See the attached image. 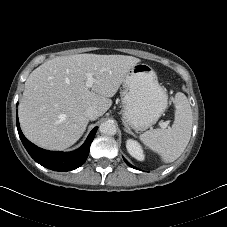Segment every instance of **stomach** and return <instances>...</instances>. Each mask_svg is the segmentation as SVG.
I'll use <instances>...</instances> for the list:
<instances>
[{
	"label": "stomach",
	"instance_id": "1",
	"mask_svg": "<svg viewBox=\"0 0 227 227\" xmlns=\"http://www.w3.org/2000/svg\"><path fill=\"white\" fill-rule=\"evenodd\" d=\"M121 85L124 122L135 131L155 124L167 108L168 95L153 68L145 63L135 64Z\"/></svg>",
	"mask_w": 227,
	"mask_h": 227
}]
</instances>
